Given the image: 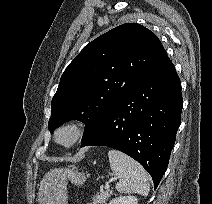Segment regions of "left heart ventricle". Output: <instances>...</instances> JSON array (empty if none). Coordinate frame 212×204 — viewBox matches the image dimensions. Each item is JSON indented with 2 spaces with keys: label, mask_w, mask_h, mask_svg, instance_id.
<instances>
[{
  "label": "left heart ventricle",
  "mask_w": 212,
  "mask_h": 204,
  "mask_svg": "<svg viewBox=\"0 0 212 204\" xmlns=\"http://www.w3.org/2000/svg\"><path fill=\"white\" fill-rule=\"evenodd\" d=\"M63 139H67V135H63V137H62Z\"/></svg>",
  "instance_id": "1"
}]
</instances>
